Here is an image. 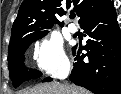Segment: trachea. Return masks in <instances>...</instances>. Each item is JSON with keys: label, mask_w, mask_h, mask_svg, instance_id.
Instances as JSON below:
<instances>
[{"label": "trachea", "mask_w": 121, "mask_h": 94, "mask_svg": "<svg viewBox=\"0 0 121 94\" xmlns=\"http://www.w3.org/2000/svg\"><path fill=\"white\" fill-rule=\"evenodd\" d=\"M75 16H76L75 14H71V15H70V18H71V19H74Z\"/></svg>", "instance_id": "trachea-1"}]
</instances>
